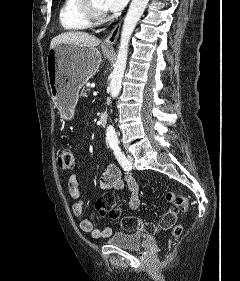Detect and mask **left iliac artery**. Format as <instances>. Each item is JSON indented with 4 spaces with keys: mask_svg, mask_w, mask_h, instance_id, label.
Listing matches in <instances>:
<instances>
[{
    "mask_svg": "<svg viewBox=\"0 0 240 281\" xmlns=\"http://www.w3.org/2000/svg\"><path fill=\"white\" fill-rule=\"evenodd\" d=\"M111 148L113 149L114 155L116 156L121 167L126 171H130L132 169V166L128 161V159L126 158L125 154L121 151L118 144H112Z\"/></svg>",
    "mask_w": 240,
    "mask_h": 281,
    "instance_id": "left-iliac-artery-1",
    "label": "left iliac artery"
}]
</instances>
